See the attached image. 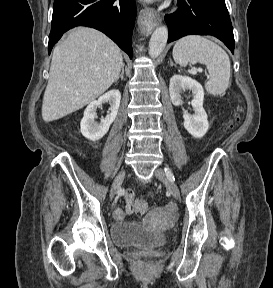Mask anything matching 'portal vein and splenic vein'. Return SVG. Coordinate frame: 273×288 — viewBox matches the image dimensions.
<instances>
[{"instance_id":"portal-vein-and-splenic-vein-1","label":"portal vein and splenic vein","mask_w":273,"mask_h":288,"mask_svg":"<svg viewBox=\"0 0 273 288\" xmlns=\"http://www.w3.org/2000/svg\"><path fill=\"white\" fill-rule=\"evenodd\" d=\"M197 71H200V72H202V69H201V70H199V69H196V68H192V70H191V72H192V73H196Z\"/></svg>"}]
</instances>
